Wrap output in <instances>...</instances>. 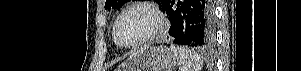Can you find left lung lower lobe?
<instances>
[{"mask_svg":"<svg viewBox=\"0 0 301 71\" xmlns=\"http://www.w3.org/2000/svg\"><path fill=\"white\" fill-rule=\"evenodd\" d=\"M163 9L171 21L169 34L175 44L206 48L214 43L211 0H168Z\"/></svg>","mask_w":301,"mask_h":71,"instance_id":"left-lung-lower-lobe-1","label":"left lung lower lobe"}]
</instances>
